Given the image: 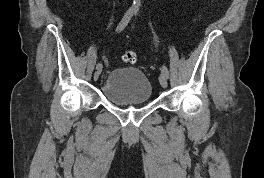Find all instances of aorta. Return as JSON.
<instances>
[{
  "instance_id": "aorta-1",
  "label": "aorta",
  "mask_w": 264,
  "mask_h": 178,
  "mask_svg": "<svg viewBox=\"0 0 264 178\" xmlns=\"http://www.w3.org/2000/svg\"><path fill=\"white\" fill-rule=\"evenodd\" d=\"M141 6V0H133L132 10L138 11Z\"/></svg>"
}]
</instances>
